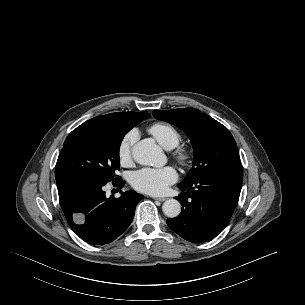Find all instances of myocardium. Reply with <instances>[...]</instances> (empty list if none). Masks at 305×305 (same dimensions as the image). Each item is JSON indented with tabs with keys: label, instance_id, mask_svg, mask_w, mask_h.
Segmentation results:
<instances>
[{
	"label": "myocardium",
	"instance_id": "myocardium-1",
	"mask_svg": "<svg viewBox=\"0 0 305 305\" xmlns=\"http://www.w3.org/2000/svg\"><path fill=\"white\" fill-rule=\"evenodd\" d=\"M191 152L185 147H177L173 151L174 159L181 165H187L191 159Z\"/></svg>",
	"mask_w": 305,
	"mask_h": 305
}]
</instances>
